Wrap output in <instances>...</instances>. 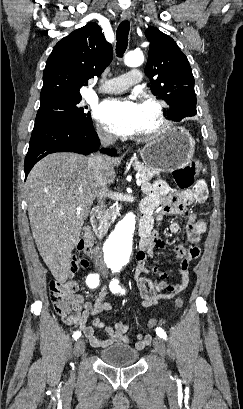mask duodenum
Masks as SVG:
<instances>
[{"label": "duodenum", "instance_id": "obj_1", "mask_svg": "<svg viewBox=\"0 0 243 409\" xmlns=\"http://www.w3.org/2000/svg\"><path fill=\"white\" fill-rule=\"evenodd\" d=\"M152 212L148 209L142 210V218L139 225L141 239H147L153 230L154 222ZM104 210L102 206H96L91 212V224L98 237H102L105 231Z\"/></svg>", "mask_w": 243, "mask_h": 409}]
</instances>
